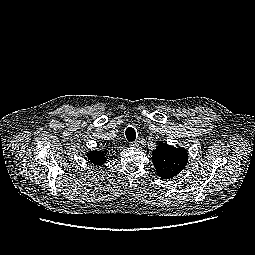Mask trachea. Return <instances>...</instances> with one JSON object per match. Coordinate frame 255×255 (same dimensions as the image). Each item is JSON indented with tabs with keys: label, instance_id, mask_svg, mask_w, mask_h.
Wrapping results in <instances>:
<instances>
[{
	"label": "trachea",
	"instance_id": "3493384b",
	"mask_svg": "<svg viewBox=\"0 0 255 255\" xmlns=\"http://www.w3.org/2000/svg\"><path fill=\"white\" fill-rule=\"evenodd\" d=\"M126 138L129 142H133L136 139L135 129L132 127H128L125 132Z\"/></svg>",
	"mask_w": 255,
	"mask_h": 255
}]
</instances>
